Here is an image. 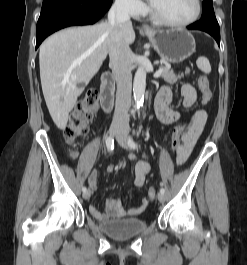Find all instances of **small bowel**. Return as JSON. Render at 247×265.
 Returning a JSON list of instances; mask_svg holds the SVG:
<instances>
[{
	"label": "small bowel",
	"instance_id": "c3829d8e",
	"mask_svg": "<svg viewBox=\"0 0 247 265\" xmlns=\"http://www.w3.org/2000/svg\"><path fill=\"white\" fill-rule=\"evenodd\" d=\"M181 93L183 96V106L185 108L192 107L197 100V93L195 88L187 83L182 86ZM172 100V92L168 87H162L155 99V113L157 119L166 125H171L177 122L180 118V113L171 108L169 105ZM207 114L204 110H197L191 116L185 131L181 135V146L176 157L178 165L184 164L189 158L192 149L201 135ZM135 156L131 155L130 160H134ZM114 167L110 166L109 171H113ZM150 172V164L146 158L136 163L134 168V183L137 187L142 188L146 183V177ZM90 190H95L97 187V173L93 170L88 179ZM149 206V201L144 198L136 207L125 208L118 198H108L105 201L104 211L98 210L95 206H90L89 211L91 215L98 221H104L111 218H122L127 216H134L144 212Z\"/></svg>",
	"mask_w": 247,
	"mask_h": 265
}]
</instances>
